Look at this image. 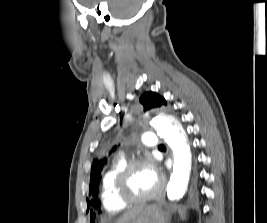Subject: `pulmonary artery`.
<instances>
[{
	"instance_id": "pulmonary-artery-1",
	"label": "pulmonary artery",
	"mask_w": 267,
	"mask_h": 223,
	"mask_svg": "<svg viewBox=\"0 0 267 223\" xmlns=\"http://www.w3.org/2000/svg\"><path fill=\"white\" fill-rule=\"evenodd\" d=\"M142 143L146 146L154 148L155 146L158 145L159 142H158V138L155 134L148 133V134H144L142 136Z\"/></svg>"
}]
</instances>
